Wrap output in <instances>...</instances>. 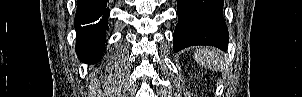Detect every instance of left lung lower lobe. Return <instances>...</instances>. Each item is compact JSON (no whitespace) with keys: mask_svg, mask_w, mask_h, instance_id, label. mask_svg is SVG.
I'll return each instance as SVG.
<instances>
[{"mask_svg":"<svg viewBox=\"0 0 302 97\" xmlns=\"http://www.w3.org/2000/svg\"><path fill=\"white\" fill-rule=\"evenodd\" d=\"M177 24L173 40L175 52L195 45H211L226 50L228 30L224 22L223 0H177Z\"/></svg>","mask_w":302,"mask_h":97,"instance_id":"0a47b994","label":"left lung lower lobe"}]
</instances>
